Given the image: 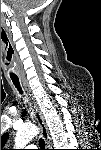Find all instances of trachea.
Instances as JSON below:
<instances>
[{"instance_id":"1","label":"trachea","mask_w":101,"mask_h":150,"mask_svg":"<svg viewBox=\"0 0 101 150\" xmlns=\"http://www.w3.org/2000/svg\"><path fill=\"white\" fill-rule=\"evenodd\" d=\"M12 81L14 83V85L16 86V88L20 91V93H22L20 84H19V80L12 78ZM39 147L41 148V150H45V141L43 139L39 140Z\"/></svg>"}]
</instances>
